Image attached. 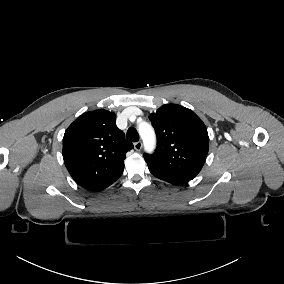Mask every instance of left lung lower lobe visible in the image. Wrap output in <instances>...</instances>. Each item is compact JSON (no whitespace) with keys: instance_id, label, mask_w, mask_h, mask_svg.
Returning <instances> with one entry per match:
<instances>
[{"instance_id":"1","label":"left lung lower lobe","mask_w":284,"mask_h":284,"mask_svg":"<svg viewBox=\"0 0 284 284\" xmlns=\"http://www.w3.org/2000/svg\"><path fill=\"white\" fill-rule=\"evenodd\" d=\"M155 177L164 180L166 182H169L171 184H175V185H182V184H186L189 180L185 179V178H180V177H174V176H170V175H166V174H161V173H157V172H153L150 171Z\"/></svg>"}]
</instances>
